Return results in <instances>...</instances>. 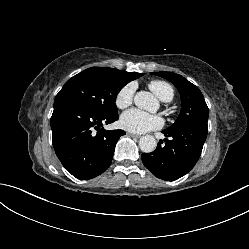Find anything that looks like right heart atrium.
<instances>
[{
    "label": "right heart atrium",
    "instance_id": "d8ad5b80",
    "mask_svg": "<svg viewBox=\"0 0 249 249\" xmlns=\"http://www.w3.org/2000/svg\"><path fill=\"white\" fill-rule=\"evenodd\" d=\"M135 89L136 87L133 83L123 86L116 95V106L120 109H125L130 106L133 102Z\"/></svg>",
    "mask_w": 249,
    "mask_h": 249
}]
</instances>
